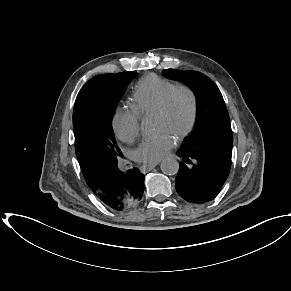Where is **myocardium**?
<instances>
[{
  "mask_svg": "<svg viewBox=\"0 0 291 291\" xmlns=\"http://www.w3.org/2000/svg\"><path fill=\"white\" fill-rule=\"evenodd\" d=\"M179 93L185 94L190 104V118L188 123L184 128L174 134L178 140H181L189 136L194 131L199 117L198 97L190 86L185 84L174 85L164 97V100L159 109L155 112V115L165 119L170 118L175 107L176 95Z\"/></svg>",
  "mask_w": 291,
  "mask_h": 291,
  "instance_id": "obj_1",
  "label": "myocardium"
}]
</instances>
